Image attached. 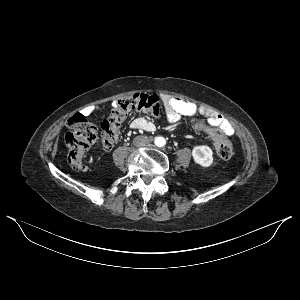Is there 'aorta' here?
<instances>
[{
    "label": "aorta",
    "mask_w": 300,
    "mask_h": 300,
    "mask_svg": "<svg viewBox=\"0 0 300 300\" xmlns=\"http://www.w3.org/2000/svg\"><path fill=\"white\" fill-rule=\"evenodd\" d=\"M154 144L157 147H163V146L166 145V139L162 136L156 137L155 140H154Z\"/></svg>",
    "instance_id": "1"
}]
</instances>
